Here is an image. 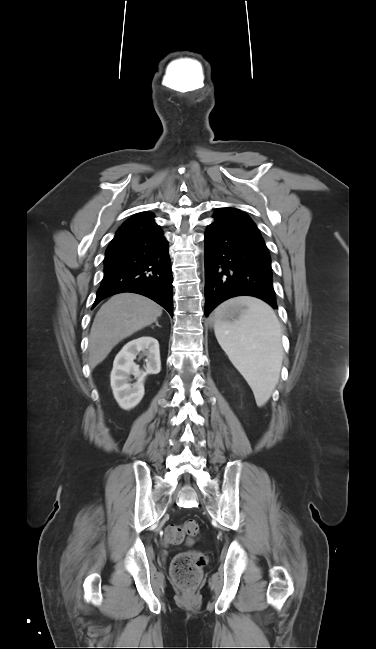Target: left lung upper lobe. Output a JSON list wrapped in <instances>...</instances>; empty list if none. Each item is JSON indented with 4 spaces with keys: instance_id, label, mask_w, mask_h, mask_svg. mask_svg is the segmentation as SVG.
I'll return each mask as SVG.
<instances>
[{
    "instance_id": "obj_1",
    "label": "left lung upper lobe",
    "mask_w": 376,
    "mask_h": 649,
    "mask_svg": "<svg viewBox=\"0 0 376 649\" xmlns=\"http://www.w3.org/2000/svg\"><path fill=\"white\" fill-rule=\"evenodd\" d=\"M215 216L217 217H225V218H234L237 220H240L244 222L245 224L256 228V225L254 222L243 212H241L238 209L232 208V207H227V208H221L215 211Z\"/></svg>"
}]
</instances>
